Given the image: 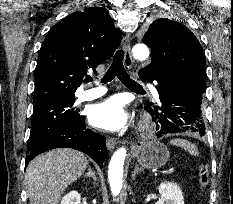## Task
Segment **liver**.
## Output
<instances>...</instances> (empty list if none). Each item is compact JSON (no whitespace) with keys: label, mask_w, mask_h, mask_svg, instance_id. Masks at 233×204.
<instances>
[{"label":"liver","mask_w":233,"mask_h":204,"mask_svg":"<svg viewBox=\"0 0 233 204\" xmlns=\"http://www.w3.org/2000/svg\"><path fill=\"white\" fill-rule=\"evenodd\" d=\"M88 161L83 153L61 148L33 159L25 182L30 204H58L68 185L84 173Z\"/></svg>","instance_id":"liver-1"}]
</instances>
